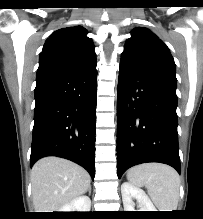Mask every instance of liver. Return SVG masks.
I'll return each mask as SVG.
<instances>
[{
  "instance_id": "1",
  "label": "liver",
  "mask_w": 203,
  "mask_h": 219,
  "mask_svg": "<svg viewBox=\"0 0 203 219\" xmlns=\"http://www.w3.org/2000/svg\"><path fill=\"white\" fill-rule=\"evenodd\" d=\"M90 182L89 173L72 161L54 156L38 160L31 170L35 212H59L84 194Z\"/></svg>"
}]
</instances>
